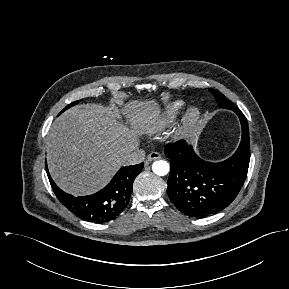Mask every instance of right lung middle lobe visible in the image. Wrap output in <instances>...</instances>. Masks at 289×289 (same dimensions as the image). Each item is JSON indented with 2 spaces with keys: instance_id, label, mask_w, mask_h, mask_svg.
<instances>
[{
  "instance_id": "1",
  "label": "right lung middle lobe",
  "mask_w": 289,
  "mask_h": 289,
  "mask_svg": "<svg viewBox=\"0 0 289 289\" xmlns=\"http://www.w3.org/2000/svg\"><path fill=\"white\" fill-rule=\"evenodd\" d=\"M79 101H75V102H73V103H71V104H69V105H67L60 113H62L63 111H65L66 109H68V108H70V107H72V106H74L76 103H78Z\"/></svg>"
}]
</instances>
